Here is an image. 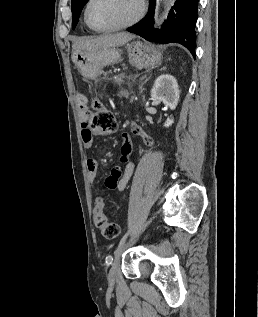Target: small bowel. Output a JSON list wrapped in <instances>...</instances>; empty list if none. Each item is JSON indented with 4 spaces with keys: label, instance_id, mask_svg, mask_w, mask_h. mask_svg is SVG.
I'll return each mask as SVG.
<instances>
[{
    "label": "small bowel",
    "instance_id": "small-bowel-1",
    "mask_svg": "<svg viewBox=\"0 0 258 317\" xmlns=\"http://www.w3.org/2000/svg\"><path fill=\"white\" fill-rule=\"evenodd\" d=\"M131 131L133 134L140 136L143 140V143L149 149L154 148V141L150 135H148L139 125L132 122L131 123ZM83 146L87 149L91 148L93 143V135L85 128L82 129L81 132ZM131 152V146L128 141V137L125 135V141L123 143L121 149V157L120 161L125 165L124 170L120 166H114L109 176L106 178L104 182V189L106 190H118L123 191L128 181L130 180L133 171L134 164L129 160V154ZM88 178L91 182H94L98 172V164L97 161L93 158H89L86 162Z\"/></svg>",
    "mask_w": 258,
    "mask_h": 317
}]
</instances>
